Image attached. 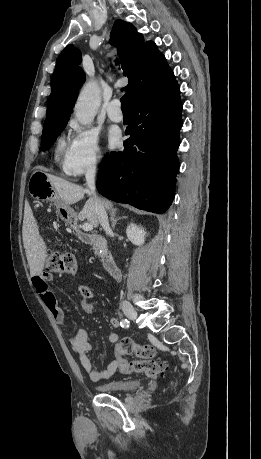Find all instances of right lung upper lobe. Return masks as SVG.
Listing matches in <instances>:
<instances>
[{
    "mask_svg": "<svg viewBox=\"0 0 261 459\" xmlns=\"http://www.w3.org/2000/svg\"><path fill=\"white\" fill-rule=\"evenodd\" d=\"M110 43L117 47L124 75L129 78L125 90H129L131 105L175 82L172 70L156 45L144 42L142 34L137 33L131 24L116 21ZM80 61L81 53L73 45L66 46L58 57L44 127L69 120L79 86L85 80V74L78 66Z\"/></svg>",
    "mask_w": 261,
    "mask_h": 459,
    "instance_id": "right-lung-upper-lobe-1",
    "label": "right lung upper lobe"
}]
</instances>
